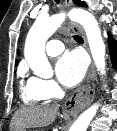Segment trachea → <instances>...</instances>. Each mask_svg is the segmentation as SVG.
Masks as SVG:
<instances>
[{
    "label": "trachea",
    "mask_w": 117,
    "mask_h": 131,
    "mask_svg": "<svg viewBox=\"0 0 117 131\" xmlns=\"http://www.w3.org/2000/svg\"><path fill=\"white\" fill-rule=\"evenodd\" d=\"M55 2H56L57 4H59V3H60V0H55ZM73 38H74L75 41L78 42V43H82V42L84 41L83 38H82L81 36H79V35H75V36H73Z\"/></svg>",
    "instance_id": "obj_1"
}]
</instances>
